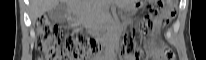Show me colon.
Returning a JSON list of instances; mask_svg holds the SVG:
<instances>
[{"instance_id": "1", "label": "colon", "mask_w": 206, "mask_h": 60, "mask_svg": "<svg viewBox=\"0 0 206 60\" xmlns=\"http://www.w3.org/2000/svg\"><path fill=\"white\" fill-rule=\"evenodd\" d=\"M175 5L174 0L154 1L150 5L149 15L151 17L161 14L168 20L174 13ZM147 27L148 20L125 41L126 51L135 49L145 35ZM97 48L95 38L85 31L76 28L62 40L60 28L47 16H41L37 21V60H85ZM162 53L168 60H173L174 55L170 48L164 47Z\"/></svg>"}]
</instances>
